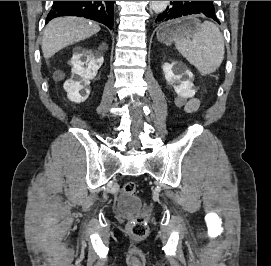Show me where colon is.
<instances>
[{"label": "colon", "instance_id": "colon-1", "mask_svg": "<svg viewBox=\"0 0 271 266\" xmlns=\"http://www.w3.org/2000/svg\"><path fill=\"white\" fill-rule=\"evenodd\" d=\"M122 192L128 196H134L137 193V186L135 182L129 181L122 187ZM128 229L132 236L136 238H144L148 234V227L146 217L139 215L128 224Z\"/></svg>", "mask_w": 271, "mask_h": 266}]
</instances>
